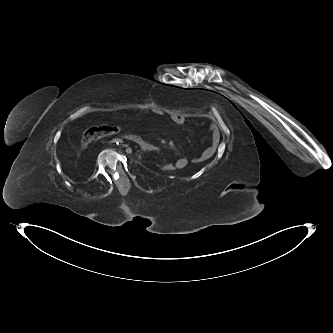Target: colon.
<instances>
[{
    "mask_svg": "<svg viewBox=\"0 0 333 333\" xmlns=\"http://www.w3.org/2000/svg\"><path fill=\"white\" fill-rule=\"evenodd\" d=\"M120 130L119 126L116 125H101L88 129L82 136V143L84 145H89L92 142L113 134H116ZM166 170L170 172L176 171V166L171 163H164Z\"/></svg>",
    "mask_w": 333,
    "mask_h": 333,
    "instance_id": "obj_1",
    "label": "colon"
}]
</instances>
